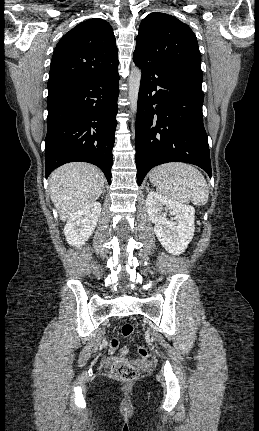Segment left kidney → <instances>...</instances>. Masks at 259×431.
Instances as JSON below:
<instances>
[{
    "label": "left kidney",
    "mask_w": 259,
    "mask_h": 431,
    "mask_svg": "<svg viewBox=\"0 0 259 431\" xmlns=\"http://www.w3.org/2000/svg\"><path fill=\"white\" fill-rule=\"evenodd\" d=\"M146 209L150 221L155 224L154 232L165 250L173 255L183 253L194 236V207L151 191L146 198ZM163 209L174 217L168 220Z\"/></svg>",
    "instance_id": "obj_1"
}]
</instances>
